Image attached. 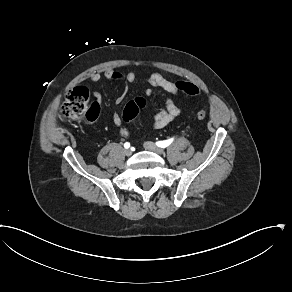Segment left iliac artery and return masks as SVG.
Masks as SVG:
<instances>
[{
	"instance_id": "obj_1",
	"label": "left iliac artery",
	"mask_w": 292,
	"mask_h": 292,
	"mask_svg": "<svg viewBox=\"0 0 292 292\" xmlns=\"http://www.w3.org/2000/svg\"><path fill=\"white\" fill-rule=\"evenodd\" d=\"M173 140H174L173 138H170L168 140L158 141L156 145L161 148H166L173 142Z\"/></svg>"
}]
</instances>
